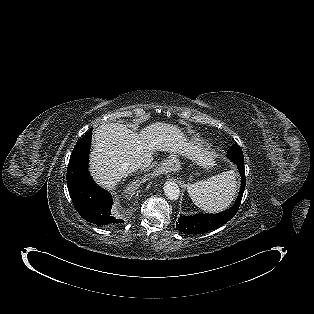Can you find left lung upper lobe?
Instances as JSON below:
<instances>
[{
    "label": "left lung upper lobe",
    "instance_id": "left-lung-upper-lobe-1",
    "mask_svg": "<svg viewBox=\"0 0 314 314\" xmlns=\"http://www.w3.org/2000/svg\"><path fill=\"white\" fill-rule=\"evenodd\" d=\"M227 155L233 161H244L243 152L238 144H234L227 151Z\"/></svg>",
    "mask_w": 314,
    "mask_h": 314
}]
</instances>
